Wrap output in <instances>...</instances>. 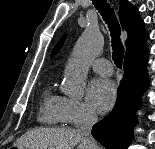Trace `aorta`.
I'll return each mask as SVG.
<instances>
[{
  "instance_id": "obj_1",
  "label": "aorta",
  "mask_w": 155,
  "mask_h": 149,
  "mask_svg": "<svg viewBox=\"0 0 155 149\" xmlns=\"http://www.w3.org/2000/svg\"><path fill=\"white\" fill-rule=\"evenodd\" d=\"M104 41L97 27L88 26L76 42L64 72L62 92L69 97L84 95L90 62L102 50Z\"/></svg>"
}]
</instances>
